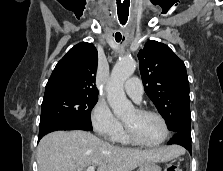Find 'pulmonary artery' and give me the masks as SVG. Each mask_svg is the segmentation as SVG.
<instances>
[{
    "label": "pulmonary artery",
    "instance_id": "1",
    "mask_svg": "<svg viewBox=\"0 0 223 171\" xmlns=\"http://www.w3.org/2000/svg\"><path fill=\"white\" fill-rule=\"evenodd\" d=\"M125 92L134 101L140 102L143 95V86L141 81L137 77L128 79L124 85Z\"/></svg>",
    "mask_w": 223,
    "mask_h": 171
}]
</instances>
